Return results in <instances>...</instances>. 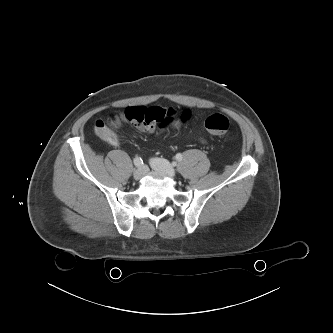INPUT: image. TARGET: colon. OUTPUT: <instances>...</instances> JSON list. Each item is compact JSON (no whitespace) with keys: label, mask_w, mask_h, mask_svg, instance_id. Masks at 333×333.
Masks as SVG:
<instances>
[{"label":"colon","mask_w":333,"mask_h":333,"mask_svg":"<svg viewBox=\"0 0 333 333\" xmlns=\"http://www.w3.org/2000/svg\"><path fill=\"white\" fill-rule=\"evenodd\" d=\"M123 120L122 115H111L106 120H97L94 125L95 133L102 139L108 141L114 135V129L119 126ZM177 125L178 122H173ZM230 127L229 119L222 114H213L205 121L206 130L213 135H223Z\"/></svg>","instance_id":"obj_1"}]
</instances>
